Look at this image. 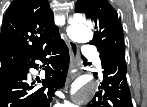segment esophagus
<instances>
[{"label":"esophagus","instance_id":"obj_1","mask_svg":"<svg viewBox=\"0 0 147 107\" xmlns=\"http://www.w3.org/2000/svg\"><path fill=\"white\" fill-rule=\"evenodd\" d=\"M67 45H68L69 54H70V67L75 68L79 66V63H80L78 45L75 42L70 41V40H68ZM75 76L76 74H70L67 79V82L72 80Z\"/></svg>","mask_w":147,"mask_h":107}]
</instances>
